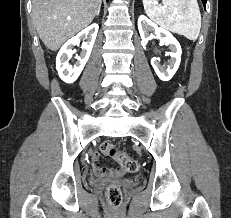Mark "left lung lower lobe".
<instances>
[{"mask_svg":"<svg viewBox=\"0 0 231 218\" xmlns=\"http://www.w3.org/2000/svg\"><path fill=\"white\" fill-rule=\"evenodd\" d=\"M206 1H207V0H202L205 9H206Z\"/></svg>","mask_w":231,"mask_h":218,"instance_id":"1","label":"left lung lower lobe"}]
</instances>
